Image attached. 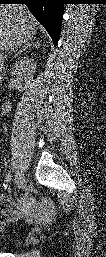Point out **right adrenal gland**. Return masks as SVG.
I'll list each match as a JSON object with an SVG mask.
<instances>
[{"label":"right adrenal gland","instance_id":"1","mask_svg":"<svg viewBox=\"0 0 106 257\" xmlns=\"http://www.w3.org/2000/svg\"><path fill=\"white\" fill-rule=\"evenodd\" d=\"M40 43L38 40H33L31 42H27L18 52H15V55L13 56L12 60L14 58H16L18 55H20L21 53H23V51H26L28 48H32V47H39Z\"/></svg>","mask_w":106,"mask_h":257}]
</instances>
